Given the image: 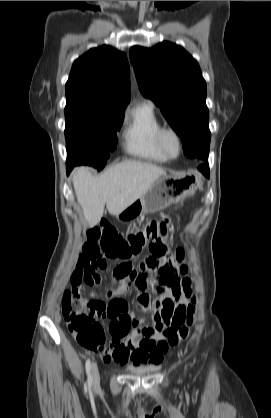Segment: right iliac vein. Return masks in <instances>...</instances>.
<instances>
[{"label":"right iliac vein","mask_w":271,"mask_h":418,"mask_svg":"<svg viewBox=\"0 0 271 418\" xmlns=\"http://www.w3.org/2000/svg\"><path fill=\"white\" fill-rule=\"evenodd\" d=\"M92 378H93L94 387L98 388L100 384V375H99V371H98V367L96 363L92 364Z\"/></svg>","instance_id":"obj_1"}]
</instances>
